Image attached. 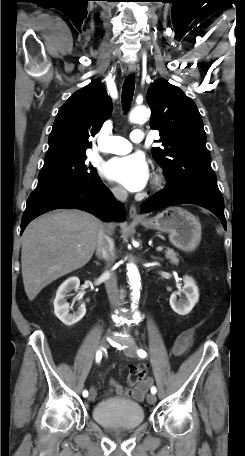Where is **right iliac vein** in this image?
<instances>
[{
	"label": "right iliac vein",
	"instance_id": "right-iliac-vein-1",
	"mask_svg": "<svg viewBox=\"0 0 245 456\" xmlns=\"http://www.w3.org/2000/svg\"><path fill=\"white\" fill-rule=\"evenodd\" d=\"M100 346H101L102 349H106L108 347V342H107V338L106 337L102 338V340L100 342ZM95 398H96V390L94 388H91L89 396H88V400L89 401H94Z\"/></svg>",
	"mask_w": 245,
	"mask_h": 456
}]
</instances>
